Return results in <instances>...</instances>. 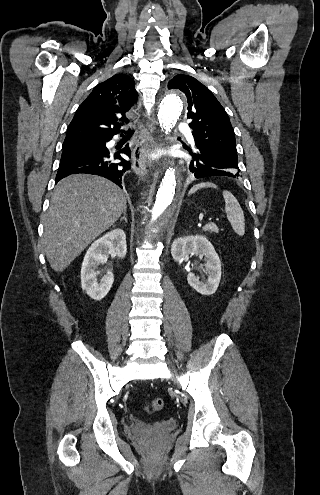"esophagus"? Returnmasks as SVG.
<instances>
[{
    "label": "esophagus",
    "instance_id": "34e87169",
    "mask_svg": "<svg viewBox=\"0 0 320 495\" xmlns=\"http://www.w3.org/2000/svg\"><path fill=\"white\" fill-rule=\"evenodd\" d=\"M155 119L147 124L148 131L142 136L140 145L136 146L132 152V168L140 177L147 174L146 154L154 148L160 146V142L153 138Z\"/></svg>",
    "mask_w": 320,
    "mask_h": 495
}]
</instances>
